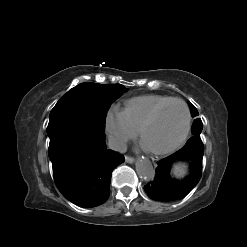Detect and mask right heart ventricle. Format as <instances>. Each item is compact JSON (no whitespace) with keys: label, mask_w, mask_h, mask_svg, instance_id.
<instances>
[{"label":"right heart ventricle","mask_w":247,"mask_h":247,"mask_svg":"<svg viewBox=\"0 0 247 247\" xmlns=\"http://www.w3.org/2000/svg\"><path fill=\"white\" fill-rule=\"evenodd\" d=\"M171 97L158 94H148L127 100L124 104L123 114L128 124L138 132L143 122L153 110Z\"/></svg>","instance_id":"obj_1"}]
</instances>
